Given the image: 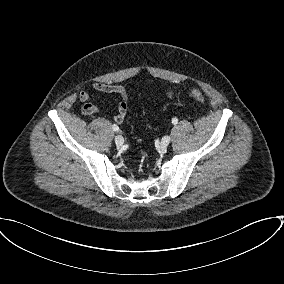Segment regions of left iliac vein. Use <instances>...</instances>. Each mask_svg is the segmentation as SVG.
Listing matches in <instances>:
<instances>
[{"label": "left iliac vein", "instance_id": "obj_1", "mask_svg": "<svg viewBox=\"0 0 284 284\" xmlns=\"http://www.w3.org/2000/svg\"><path fill=\"white\" fill-rule=\"evenodd\" d=\"M171 138L170 136L166 135L161 140V145L163 148H166L170 144Z\"/></svg>", "mask_w": 284, "mask_h": 284}]
</instances>
